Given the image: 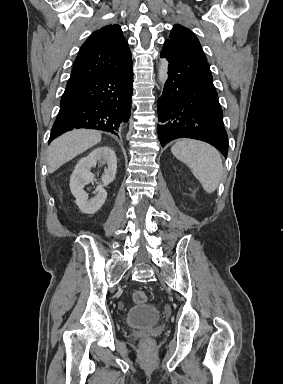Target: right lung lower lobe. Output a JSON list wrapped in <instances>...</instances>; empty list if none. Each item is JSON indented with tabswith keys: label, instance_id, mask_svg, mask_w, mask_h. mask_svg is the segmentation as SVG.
Masks as SVG:
<instances>
[{
	"label": "right lung lower lobe",
	"instance_id": "obj_1",
	"mask_svg": "<svg viewBox=\"0 0 283 384\" xmlns=\"http://www.w3.org/2000/svg\"><path fill=\"white\" fill-rule=\"evenodd\" d=\"M132 92V65L119 72L105 73L67 86L49 142L78 128L118 135L121 124L130 117Z\"/></svg>",
	"mask_w": 283,
	"mask_h": 384
}]
</instances>
